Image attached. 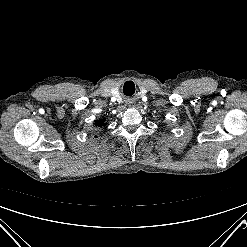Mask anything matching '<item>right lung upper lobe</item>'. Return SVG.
Listing matches in <instances>:
<instances>
[{"mask_svg":"<svg viewBox=\"0 0 247 247\" xmlns=\"http://www.w3.org/2000/svg\"><path fill=\"white\" fill-rule=\"evenodd\" d=\"M95 125L96 126H104L105 125V120H95Z\"/></svg>","mask_w":247,"mask_h":247,"instance_id":"cb5924a9","label":"right lung upper lobe"}]
</instances>
